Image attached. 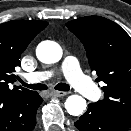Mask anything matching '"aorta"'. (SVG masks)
<instances>
[{"label":"aorta","mask_w":131,"mask_h":131,"mask_svg":"<svg viewBox=\"0 0 131 131\" xmlns=\"http://www.w3.org/2000/svg\"><path fill=\"white\" fill-rule=\"evenodd\" d=\"M37 58L47 64L56 63L62 57L61 47L52 41L41 42L36 49ZM86 100L79 95H71L65 102V108L70 115L79 116L86 109Z\"/></svg>","instance_id":"1"}]
</instances>
